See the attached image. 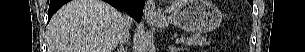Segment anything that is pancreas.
Instances as JSON below:
<instances>
[{"instance_id":"cf45deb5","label":"pancreas","mask_w":305,"mask_h":52,"mask_svg":"<svg viewBox=\"0 0 305 52\" xmlns=\"http://www.w3.org/2000/svg\"><path fill=\"white\" fill-rule=\"evenodd\" d=\"M209 43L210 42L207 41V38L200 34L190 35L183 42V44L188 45V46H191V45H200L201 46V45H208Z\"/></svg>"}]
</instances>
